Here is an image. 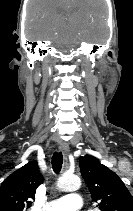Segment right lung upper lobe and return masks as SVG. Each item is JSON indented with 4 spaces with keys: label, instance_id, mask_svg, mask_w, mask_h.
Segmentation results:
<instances>
[{
    "label": "right lung upper lobe",
    "instance_id": "cb5924a9",
    "mask_svg": "<svg viewBox=\"0 0 133 211\" xmlns=\"http://www.w3.org/2000/svg\"><path fill=\"white\" fill-rule=\"evenodd\" d=\"M42 183L43 177L36 161L16 170L0 186V211H26Z\"/></svg>",
    "mask_w": 133,
    "mask_h": 211
}]
</instances>
